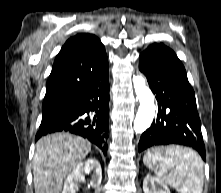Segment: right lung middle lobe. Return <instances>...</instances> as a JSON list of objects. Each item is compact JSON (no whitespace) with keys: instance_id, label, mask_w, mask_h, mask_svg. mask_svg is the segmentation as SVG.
<instances>
[{"instance_id":"1","label":"right lung middle lobe","mask_w":221,"mask_h":193,"mask_svg":"<svg viewBox=\"0 0 221 193\" xmlns=\"http://www.w3.org/2000/svg\"><path fill=\"white\" fill-rule=\"evenodd\" d=\"M71 100L72 99H62L43 102L41 123H47L68 112L71 108Z\"/></svg>"}]
</instances>
